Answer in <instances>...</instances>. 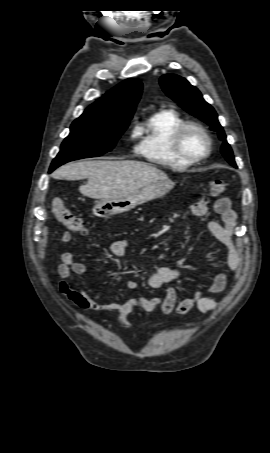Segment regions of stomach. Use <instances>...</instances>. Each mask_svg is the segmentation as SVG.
I'll return each mask as SVG.
<instances>
[{"label": "stomach", "instance_id": "obj_1", "mask_svg": "<svg viewBox=\"0 0 270 453\" xmlns=\"http://www.w3.org/2000/svg\"><path fill=\"white\" fill-rule=\"evenodd\" d=\"M174 186L170 180H159L153 182L127 196L99 199L96 201L92 211L93 214L100 218L121 214L147 201L159 198L168 193Z\"/></svg>", "mask_w": 270, "mask_h": 453}]
</instances>
